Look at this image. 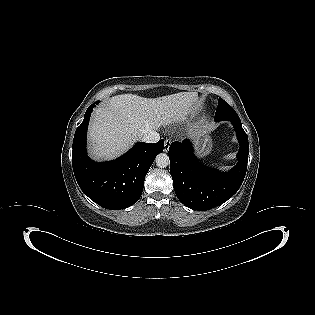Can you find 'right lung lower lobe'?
<instances>
[{
	"label": "right lung lower lobe",
	"mask_w": 315,
	"mask_h": 315,
	"mask_svg": "<svg viewBox=\"0 0 315 315\" xmlns=\"http://www.w3.org/2000/svg\"><path fill=\"white\" fill-rule=\"evenodd\" d=\"M94 106L88 107L75 132L72 151L75 178L81 190L98 205L124 209L140 198L145 176L157 154L163 151L164 140L154 144L138 142L118 159L96 163L86 153L87 128Z\"/></svg>",
	"instance_id": "1"
}]
</instances>
